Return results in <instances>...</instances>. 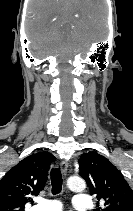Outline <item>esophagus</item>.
I'll return each mask as SVG.
<instances>
[{"label":"esophagus","instance_id":"34e87169","mask_svg":"<svg viewBox=\"0 0 133 211\" xmlns=\"http://www.w3.org/2000/svg\"><path fill=\"white\" fill-rule=\"evenodd\" d=\"M61 170H62L63 175L66 176L67 170H68V162L67 161L63 160L61 162Z\"/></svg>","mask_w":133,"mask_h":211}]
</instances>
